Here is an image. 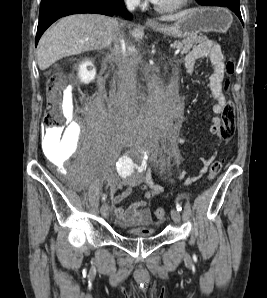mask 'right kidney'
<instances>
[{"label": "right kidney", "mask_w": 267, "mask_h": 298, "mask_svg": "<svg viewBox=\"0 0 267 298\" xmlns=\"http://www.w3.org/2000/svg\"><path fill=\"white\" fill-rule=\"evenodd\" d=\"M78 76L84 84H89L95 79L96 69L91 61H85L80 64Z\"/></svg>", "instance_id": "right-kidney-1"}]
</instances>
